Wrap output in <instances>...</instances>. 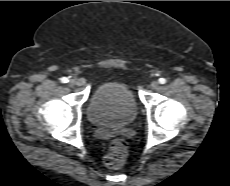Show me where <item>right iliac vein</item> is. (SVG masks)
Instances as JSON below:
<instances>
[{
  "instance_id": "63e3f726",
  "label": "right iliac vein",
  "mask_w": 230,
  "mask_h": 186,
  "mask_svg": "<svg viewBox=\"0 0 230 186\" xmlns=\"http://www.w3.org/2000/svg\"><path fill=\"white\" fill-rule=\"evenodd\" d=\"M69 85H70L71 87H74V86L78 85V81L75 80V79H71V80L69 81Z\"/></svg>"
}]
</instances>
